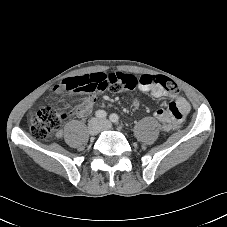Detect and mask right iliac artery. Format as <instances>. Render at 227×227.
Instances as JSON below:
<instances>
[{"label": "right iliac artery", "instance_id": "right-iliac-artery-1", "mask_svg": "<svg viewBox=\"0 0 227 227\" xmlns=\"http://www.w3.org/2000/svg\"><path fill=\"white\" fill-rule=\"evenodd\" d=\"M95 116L100 119H103V118H106L107 113L104 110H98L95 112Z\"/></svg>", "mask_w": 227, "mask_h": 227}]
</instances>
